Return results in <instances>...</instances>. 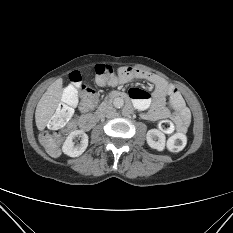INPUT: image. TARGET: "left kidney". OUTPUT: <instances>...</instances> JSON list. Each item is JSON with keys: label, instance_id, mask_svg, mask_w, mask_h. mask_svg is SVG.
Instances as JSON below:
<instances>
[{"label": "left kidney", "instance_id": "obj_1", "mask_svg": "<svg viewBox=\"0 0 233 233\" xmlns=\"http://www.w3.org/2000/svg\"><path fill=\"white\" fill-rule=\"evenodd\" d=\"M147 144L158 151H163L165 149L166 137L158 129H150L146 134Z\"/></svg>", "mask_w": 233, "mask_h": 233}]
</instances>
